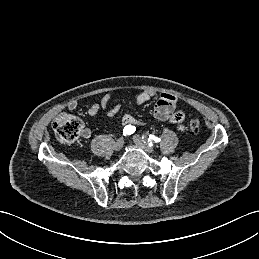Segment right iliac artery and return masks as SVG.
<instances>
[{
  "label": "right iliac artery",
  "mask_w": 259,
  "mask_h": 259,
  "mask_svg": "<svg viewBox=\"0 0 259 259\" xmlns=\"http://www.w3.org/2000/svg\"><path fill=\"white\" fill-rule=\"evenodd\" d=\"M135 130H136V128L134 126L127 125L123 129V135L124 136L131 135V134H133L135 132Z\"/></svg>",
  "instance_id": "1"
}]
</instances>
